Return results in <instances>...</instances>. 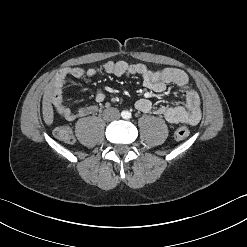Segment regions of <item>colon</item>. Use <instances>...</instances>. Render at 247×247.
<instances>
[{
	"mask_svg": "<svg viewBox=\"0 0 247 247\" xmlns=\"http://www.w3.org/2000/svg\"><path fill=\"white\" fill-rule=\"evenodd\" d=\"M53 134L56 138L64 141V142H72L73 134L72 130L68 126H57L53 130ZM190 135V131L186 127H180L174 132V138L177 141H182L188 138Z\"/></svg>",
	"mask_w": 247,
	"mask_h": 247,
	"instance_id": "1",
	"label": "colon"
}]
</instances>
